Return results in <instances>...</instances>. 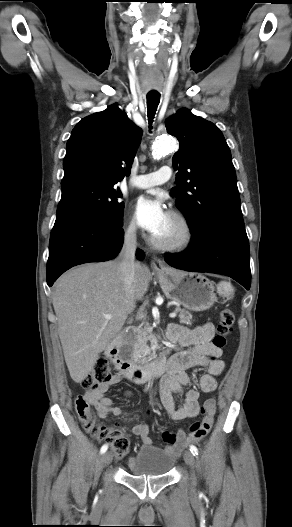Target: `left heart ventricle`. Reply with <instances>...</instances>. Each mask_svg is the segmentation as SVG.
Here are the masks:
<instances>
[{
    "mask_svg": "<svg viewBox=\"0 0 292 527\" xmlns=\"http://www.w3.org/2000/svg\"><path fill=\"white\" fill-rule=\"evenodd\" d=\"M179 233V227L176 224L174 220H172L170 217H168L167 222L163 226V228L154 235L159 240L168 241L172 240L175 237H177Z\"/></svg>",
    "mask_w": 292,
    "mask_h": 527,
    "instance_id": "obj_1",
    "label": "left heart ventricle"
}]
</instances>
